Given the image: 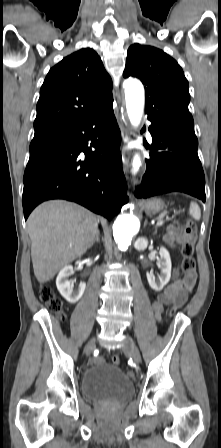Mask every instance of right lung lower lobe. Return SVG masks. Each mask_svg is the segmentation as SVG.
Returning a JSON list of instances; mask_svg holds the SVG:
<instances>
[{
  "mask_svg": "<svg viewBox=\"0 0 221 448\" xmlns=\"http://www.w3.org/2000/svg\"><path fill=\"white\" fill-rule=\"evenodd\" d=\"M112 103L33 138L23 179L25 220L49 199L77 202L109 220L128 202Z\"/></svg>",
  "mask_w": 221,
  "mask_h": 448,
  "instance_id": "obj_1",
  "label": "right lung lower lobe"
}]
</instances>
